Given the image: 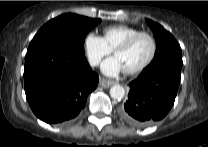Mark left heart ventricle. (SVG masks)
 I'll return each instance as SVG.
<instances>
[{"label":"left heart ventricle","instance_id":"obj_1","mask_svg":"<svg viewBox=\"0 0 208 147\" xmlns=\"http://www.w3.org/2000/svg\"><path fill=\"white\" fill-rule=\"evenodd\" d=\"M152 51V43L146 36L140 37L136 42L127 50L119 51L115 56L119 59L124 70L132 69L150 56Z\"/></svg>","mask_w":208,"mask_h":147}]
</instances>
